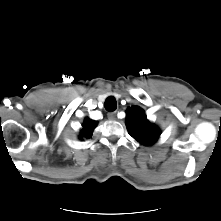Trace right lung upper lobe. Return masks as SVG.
<instances>
[{"instance_id": "cb5924a9", "label": "right lung upper lobe", "mask_w": 221, "mask_h": 221, "mask_svg": "<svg viewBox=\"0 0 221 221\" xmlns=\"http://www.w3.org/2000/svg\"><path fill=\"white\" fill-rule=\"evenodd\" d=\"M97 122L93 121L91 119L86 118L84 123H83V128L81 129L80 132V139L84 138H90L91 137V133L93 132V129L96 127Z\"/></svg>"}]
</instances>
